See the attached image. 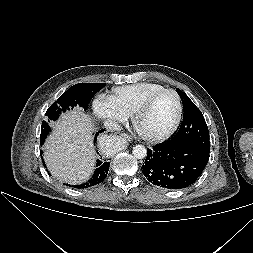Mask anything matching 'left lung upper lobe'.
Here are the masks:
<instances>
[{
	"label": "left lung upper lobe",
	"mask_w": 253,
	"mask_h": 253,
	"mask_svg": "<svg viewBox=\"0 0 253 253\" xmlns=\"http://www.w3.org/2000/svg\"><path fill=\"white\" fill-rule=\"evenodd\" d=\"M176 90L183 103L184 115L178 132L169 141L193 144L210 151L208 127L201 111L184 92Z\"/></svg>",
	"instance_id": "left-lung-upper-lobe-1"
}]
</instances>
